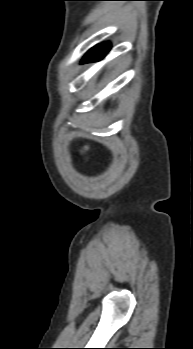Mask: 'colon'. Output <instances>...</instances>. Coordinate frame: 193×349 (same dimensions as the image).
<instances>
[{"label":"colon","mask_w":193,"mask_h":349,"mask_svg":"<svg viewBox=\"0 0 193 349\" xmlns=\"http://www.w3.org/2000/svg\"><path fill=\"white\" fill-rule=\"evenodd\" d=\"M88 149H89V146H88V145H85V146L83 147V149H82V155H83L84 158L86 157V153H87Z\"/></svg>","instance_id":"colon-1"}]
</instances>
